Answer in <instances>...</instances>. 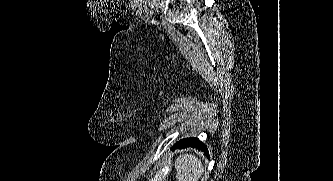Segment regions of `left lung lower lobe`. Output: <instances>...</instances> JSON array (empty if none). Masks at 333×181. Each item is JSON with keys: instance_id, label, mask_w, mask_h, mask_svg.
Listing matches in <instances>:
<instances>
[{"instance_id": "left-lung-lower-lobe-1", "label": "left lung lower lobe", "mask_w": 333, "mask_h": 181, "mask_svg": "<svg viewBox=\"0 0 333 181\" xmlns=\"http://www.w3.org/2000/svg\"><path fill=\"white\" fill-rule=\"evenodd\" d=\"M186 147H193L198 149L199 151H203L206 156L209 157L206 145H204L198 138L195 137L182 139L179 142L175 143V145L171 149H183Z\"/></svg>"}]
</instances>
